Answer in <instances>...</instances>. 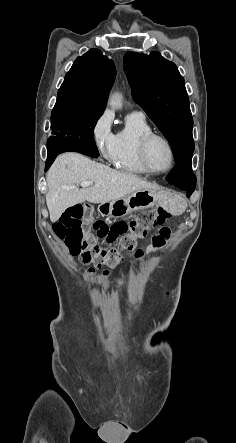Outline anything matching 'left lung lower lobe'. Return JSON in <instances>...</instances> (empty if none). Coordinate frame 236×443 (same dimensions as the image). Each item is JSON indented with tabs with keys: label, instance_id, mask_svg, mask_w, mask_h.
<instances>
[{
	"label": "left lung lower lobe",
	"instance_id": "left-lung-lower-lobe-1",
	"mask_svg": "<svg viewBox=\"0 0 236 443\" xmlns=\"http://www.w3.org/2000/svg\"><path fill=\"white\" fill-rule=\"evenodd\" d=\"M192 156L186 157L178 162L167 175L166 180L178 188L187 192V197L193 193L196 186V177L192 172Z\"/></svg>",
	"mask_w": 236,
	"mask_h": 443
}]
</instances>
